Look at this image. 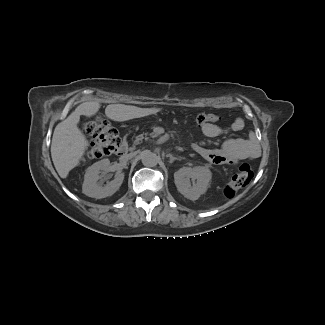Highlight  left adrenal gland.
<instances>
[{
  "instance_id": "1",
  "label": "left adrenal gland",
  "mask_w": 325,
  "mask_h": 325,
  "mask_svg": "<svg viewBox=\"0 0 325 325\" xmlns=\"http://www.w3.org/2000/svg\"><path fill=\"white\" fill-rule=\"evenodd\" d=\"M167 157L170 158V163H173L175 160H181L182 157H174L172 154H168Z\"/></svg>"
}]
</instances>
